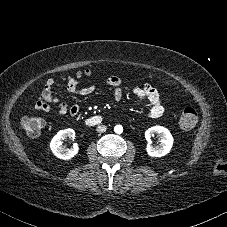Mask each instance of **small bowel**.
I'll return each mask as SVG.
<instances>
[{
    "mask_svg": "<svg viewBox=\"0 0 227 227\" xmlns=\"http://www.w3.org/2000/svg\"><path fill=\"white\" fill-rule=\"evenodd\" d=\"M107 86L114 92L116 100H121L125 91H130L146 105V114L150 118H158L164 113V105L162 103L160 93L156 87L151 84H144L142 86L136 84H128L122 86L121 78L118 76H111L107 80ZM55 81L50 78L43 84L41 94L35 102V109L41 111H50L56 106L60 116L70 115L75 117L80 112L78 104L69 106L65 102H59L58 96L54 92ZM95 91V86L90 85L83 88L76 87L75 84L70 88V92L75 95H90Z\"/></svg>",
    "mask_w": 227,
    "mask_h": 227,
    "instance_id": "c3829d8e",
    "label": "small bowel"
}]
</instances>
